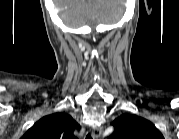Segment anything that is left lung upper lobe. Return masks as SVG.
Returning a JSON list of instances; mask_svg holds the SVG:
<instances>
[{
  "mask_svg": "<svg viewBox=\"0 0 179 139\" xmlns=\"http://www.w3.org/2000/svg\"><path fill=\"white\" fill-rule=\"evenodd\" d=\"M110 139H162V134L150 121L137 115L123 114L112 122Z\"/></svg>",
  "mask_w": 179,
  "mask_h": 139,
  "instance_id": "obj_1",
  "label": "left lung upper lobe"
}]
</instances>
